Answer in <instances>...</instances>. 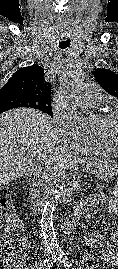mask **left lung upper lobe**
I'll list each match as a JSON object with an SVG mask.
<instances>
[{"label": "left lung upper lobe", "mask_w": 118, "mask_h": 269, "mask_svg": "<svg viewBox=\"0 0 118 269\" xmlns=\"http://www.w3.org/2000/svg\"><path fill=\"white\" fill-rule=\"evenodd\" d=\"M93 75L101 87L118 98V75L108 69H95Z\"/></svg>", "instance_id": "1"}]
</instances>
